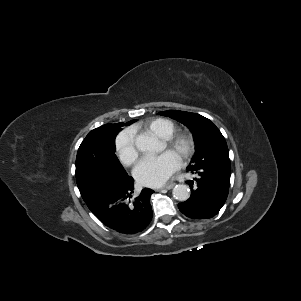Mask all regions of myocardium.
I'll return each instance as SVG.
<instances>
[{
  "label": "myocardium",
  "instance_id": "myocardium-1",
  "mask_svg": "<svg viewBox=\"0 0 301 301\" xmlns=\"http://www.w3.org/2000/svg\"><path fill=\"white\" fill-rule=\"evenodd\" d=\"M165 144L172 150L179 153V157L186 161L189 160L195 152V141L192 135L188 133H179L165 139Z\"/></svg>",
  "mask_w": 301,
  "mask_h": 301
}]
</instances>
